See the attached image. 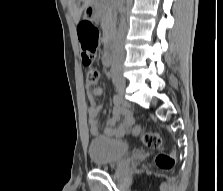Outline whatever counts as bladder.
Listing matches in <instances>:
<instances>
[{
	"label": "bladder",
	"instance_id": "bladder-1",
	"mask_svg": "<svg viewBox=\"0 0 223 191\" xmlns=\"http://www.w3.org/2000/svg\"><path fill=\"white\" fill-rule=\"evenodd\" d=\"M129 150L127 141L105 137L94 138L88 145L89 157L97 166L112 165L127 156Z\"/></svg>",
	"mask_w": 223,
	"mask_h": 191
}]
</instances>
